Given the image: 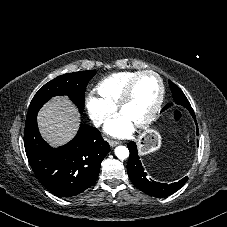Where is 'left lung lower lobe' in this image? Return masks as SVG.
Here are the masks:
<instances>
[{
  "mask_svg": "<svg viewBox=\"0 0 227 227\" xmlns=\"http://www.w3.org/2000/svg\"><path fill=\"white\" fill-rule=\"evenodd\" d=\"M191 115L196 122L194 112H191ZM197 135H199L198 126ZM128 148L130 151V156L127 163V172L129 178L132 183L144 193L154 197H167L178 191L186 183L188 179L187 177L171 184L159 183L149 179L148 174L144 171V168L139 160L135 142L128 143Z\"/></svg>",
  "mask_w": 227,
  "mask_h": 227,
  "instance_id": "obj_1",
  "label": "left lung lower lobe"
}]
</instances>
